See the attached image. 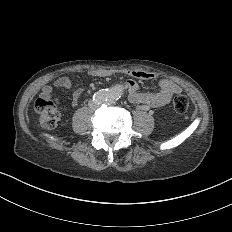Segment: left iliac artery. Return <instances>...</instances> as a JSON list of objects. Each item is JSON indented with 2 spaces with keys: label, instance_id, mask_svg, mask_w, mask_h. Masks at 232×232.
I'll return each instance as SVG.
<instances>
[{
  "label": "left iliac artery",
  "instance_id": "obj_1",
  "mask_svg": "<svg viewBox=\"0 0 232 232\" xmlns=\"http://www.w3.org/2000/svg\"><path fill=\"white\" fill-rule=\"evenodd\" d=\"M119 99L118 93L116 91H109L106 101L108 105H115Z\"/></svg>",
  "mask_w": 232,
  "mask_h": 232
}]
</instances>
